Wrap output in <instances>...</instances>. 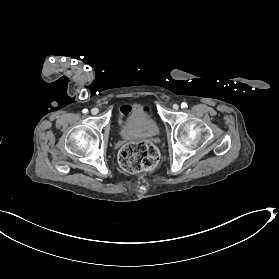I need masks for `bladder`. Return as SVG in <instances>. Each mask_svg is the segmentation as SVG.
<instances>
[{"instance_id":"31cf9c89","label":"bladder","mask_w":279,"mask_h":279,"mask_svg":"<svg viewBox=\"0 0 279 279\" xmlns=\"http://www.w3.org/2000/svg\"><path fill=\"white\" fill-rule=\"evenodd\" d=\"M122 122L123 131L120 134L127 139H150L155 137L160 130L155 118L146 113V109L133 107L129 109Z\"/></svg>"}]
</instances>
